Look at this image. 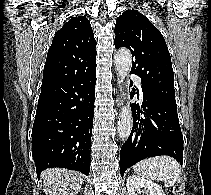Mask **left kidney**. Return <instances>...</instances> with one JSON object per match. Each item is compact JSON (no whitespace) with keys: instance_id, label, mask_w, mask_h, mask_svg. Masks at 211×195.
<instances>
[{"instance_id":"obj_1","label":"left kidney","mask_w":211,"mask_h":195,"mask_svg":"<svg viewBox=\"0 0 211 195\" xmlns=\"http://www.w3.org/2000/svg\"><path fill=\"white\" fill-rule=\"evenodd\" d=\"M127 190L129 195H165L158 184L136 175L127 178Z\"/></svg>"}]
</instances>
